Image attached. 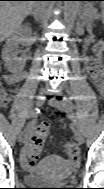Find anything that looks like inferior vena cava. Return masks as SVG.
Returning <instances> with one entry per match:
<instances>
[{"mask_svg": "<svg viewBox=\"0 0 104 189\" xmlns=\"http://www.w3.org/2000/svg\"><path fill=\"white\" fill-rule=\"evenodd\" d=\"M36 3L37 4L35 5L32 13H33V16L36 19V21H39L46 14L45 8H46L47 3L45 1H39V2H36ZM43 79H45V78H43ZM42 88H47V85H42Z\"/></svg>", "mask_w": 104, "mask_h": 189, "instance_id": "inferior-vena-cava-1", "label": "inferior vena cava"}]
</instances>
